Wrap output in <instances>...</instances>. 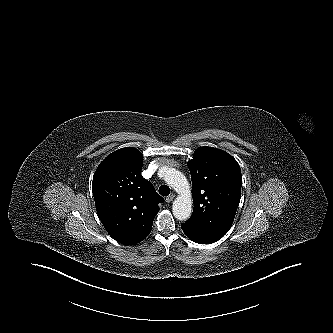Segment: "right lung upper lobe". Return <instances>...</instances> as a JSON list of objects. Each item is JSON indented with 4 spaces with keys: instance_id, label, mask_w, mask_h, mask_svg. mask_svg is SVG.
I'll use <instances>...</instances> for the list:
<instances>
[{
    "instance_id": "1",
    "label": "right lung upper lobe",
    "mask_w": 333,
    "mask_h": 333,
    "mask_svg": "<svg viewBox=\"0 0 333 333\" xmlns=\"http://www.w3.org/2000/svg\"><path fill=\"white\" fill-rule=\"evenodd\" d=\"M142 154L122 148L108 155L93 176L92 191L98 216L116 241L141 242L152 229L164 199L141 175Z\"/></svg>"
}]
</instances>
